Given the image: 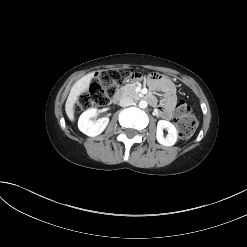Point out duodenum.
Returning a JSON list of instances; mask_svg holds the SVG:
<instances>
[{"instance_id":"1","label":"duodenum","mask_w":247,"mask_h":247,"mask_svg":"<svg viewBox=\"0 0 247 247\" xmlns=\"http://www.w3.org/2000/svg\"><path fill=\"white\" fill-rule=\"evenodd\" d=\"M122 97H123V90L122 89H119L118 90V94L115 97V101L116 102L119 101ZM143 99L145 101H147L148 103H150V104H154L155 103V99L151 95H146V96L143 97Z\"/></svg>"}]
</instances>
